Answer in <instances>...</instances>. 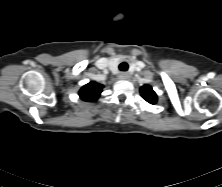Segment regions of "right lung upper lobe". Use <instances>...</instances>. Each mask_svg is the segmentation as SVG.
<instances>
[{
	"mask_svg": "<svg viewBox=\"0 0 222 187\" xmlns=\"http://www.w3.org/2000/svg\"><path fill=\"white\" fill-rule=\"evenodd\" d=\"M102 89L103 85L89 82L80 89L79 96L84 101L93 102L100 96Z\"/></svg>",
	"mask_w": 222,
	"mask_h": 187,
	"instance_id": "1",
	"label": "right lung upper lobe"
}]
</instances>
